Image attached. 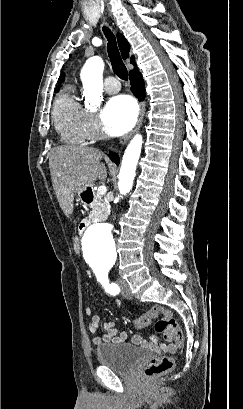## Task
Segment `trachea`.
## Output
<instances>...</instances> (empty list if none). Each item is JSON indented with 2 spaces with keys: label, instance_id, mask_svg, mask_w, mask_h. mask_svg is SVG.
Wrapping results in <instances>:
<instances>
[{
  "label": "trachea",
  "instance_id": "1",
  "mask_svg": "<svg viewBox=\"0 0 243 409\" xmlns=\"http://www.w3.org/2000/svg\"><path fill=\"white\" fill-rule=\"evenodd\" d=\"M103 32L108 40L107 51L111 61L114 73L121 79L128 80V72L120 56L119 49L117 47L115 35L110 31L108 27L103 28Z\"/></svg>",
  "mask_w": 243,
  "mask_h": 409
}]
</instances>
